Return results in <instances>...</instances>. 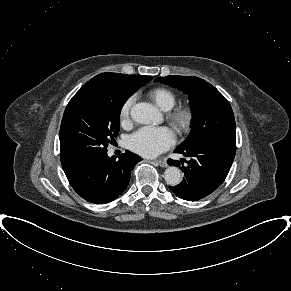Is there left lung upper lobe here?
I'll use <instances>...</instances> for the list:
<instances>
[{
    "label": "left lung upper lobe",
    "instance_id": "obj_1",
    "mask_svg": "<svg viewBox=\"0 0 291 291\" xmlns=\"http://www.w3.org/2000/svg\"><path fill=\"white\" fill-rule=\"evenodd\" d=\"M155 81L182 90L189 97L193 112L192 130L179 147L194 146L214 138L236 137L232 108L210 83L192 76L159 77Z\"/></svg>",
    "mask_w": 291,
    "mask_h": 291
}]
</instances>
